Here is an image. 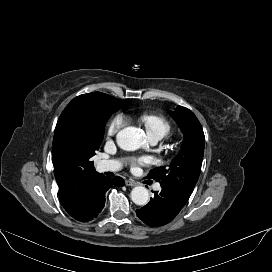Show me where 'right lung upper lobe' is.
Wrapping results in <instances>:
<instances>
[{
    "label": "right lung upper lobe",
    "mask_w": 272,
    "mask_h": 272,
    "mask_svg": "<svg viewBox=\"0 0 272 272\" xmlns=\"http://www.w3.org/2000/svg\"><path fill=\"white\" fill-rule=\"evenodd\" d=\"M104 95L106 94L93 92L74 98L61 113L55 128L52 145L54 174L61 202L70 216L83 210L92 195L96 180L103 175L97 173L94 167L84 164L81 158L69 149L65 139L66 131L90 114Z\"/></svg>",
    "instance_id": "obj_1"
}]
</instances>
